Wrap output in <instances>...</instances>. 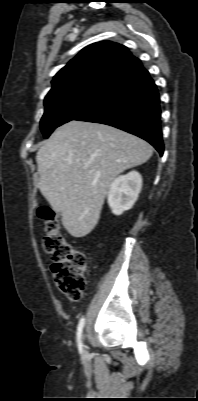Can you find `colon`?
Here are the masks:
<instances>
[{
    "mask_svg": "<svg viewBox=\"0 0 198 401\" xmlns=\"http://www.w3.org/2000/svg\"><path fill=\"white\" fill-rule=\"evenodd\" d=\"M38 216L44 224L43 247L53 262L54 282L67 299L78 301L86 288L87 257L61 233L59 219L51 208L39 207Z\"/></svg>",
    "mask_w": 198,
    "mask_h": 401,
    "instance_id": "1",
    "label": "colon"
}]
</instances>
